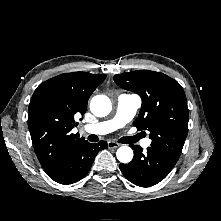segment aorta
I'll use <instances>...</instances> for the list:
<instances>
[{
    "instance_id": "762f6f07",
    "label": "aorta",
    "mask_w": 221,
    "mask_h": 221,
    "mask_svg": "<svg viewBox=\"0 0 221 221\" xmlns=\"http://www.w3.org/2000/svg\"><path fill=\"white\" fill-rule=\"evenodd\" d=\"M111 101L105 95L94 96L90 102V110L97 117H104L111 111ZM121 163H129L133 159V150L129 146H121L116 152Z\"/></svg>"
}]
</instances>
